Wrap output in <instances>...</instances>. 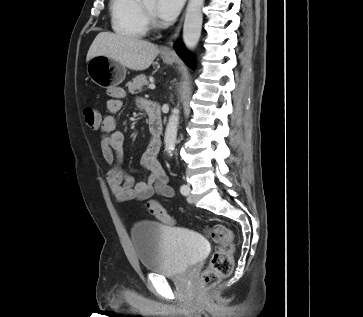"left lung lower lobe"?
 <instances>
[{
    "label": "left lung lower lobe",
    "mask_w": 363,
    "mask_h": 317,
    "mask_svg": "<svg viewBox=\"0 0 363 317\" xmlns=\"http://www.w3.org/2000/svg\"><path fill=\"white\" fill-rule=\"evenodd\" d=\"M175 49L177 51V53L179 54V56L185 61V63L192 67V60L190 55L188 54V52L185 50L183 44L181 43H177L175 45Z\"/></svg>",
    "instance_id": "1"
}]
</instances>
